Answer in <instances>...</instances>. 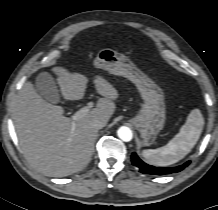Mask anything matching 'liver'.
Segmentation results:
<instances>
[{
	"label": "liver",
	"instance_id": "liver-1",
	"mask_svg": "<svg viewBox=\"0 0 218 210\" xmlns=\"http://www.w3.org/2000/svg\"><path fill=\"white\" fill-rule=\"evenodd\" d=\"M52 71L58 76L66 100L84 97L87 78L69 73L62 67ZM94 84L102 96L96 108L79 119L64 116L61 106L45 101L27 82L20 90L13 108V121L21 149L28 161L40 172L64 177L82 170L90 161L98 130L91 122L108 121L115 111L118 92L106 79L97 75Z\"/></svg>",
	"mask_w": 218,
	"mask_h": 210
}]
</instances>
